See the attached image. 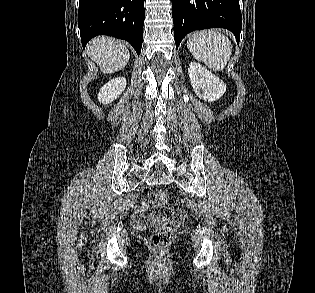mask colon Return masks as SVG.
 I'll list each match as a JSON object with an SVG mask.
<instances>
[{
	"instance_id": "1",
	"label": "colon",
	"mask_w": 315,
	"mask_h": 293,
	"mask_svg": "<svg viewBox=\"0 0 315 293\" xmlns=\"http://www.w3.org/2000/svg\"><path fill=\"white\" fill-rule=\"evenodd\" d=\"M150 201L158 206L166 205L168 202V195L165 191L159 190L151 194ZM186 220V213L181 209H176L173 213V218L164 219L161 224V229L157 230L150 237V247L158 254H163L171 242L177 226Z\"/></svg>"
}]
</instances>
